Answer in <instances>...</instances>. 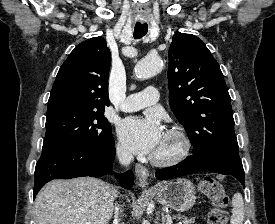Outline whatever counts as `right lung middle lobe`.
<instances>
[{
  "mask_svg": "<svg viewBox=\"0 0 275 224\" xmlns=\"http://www.w3.org/2000/svg\"><path fill=\"white\" fill-rule=\"evenodd\" d=\"M104 110L64 109L47 114L43 148L100 144L112 137Z\"/></svg>",
  "mask_w": 275,
  "mask_h": 224,
  "instance_id": "obj_1",
  "label": "right lung middle lobe"
}]
</instances>
